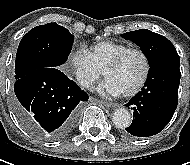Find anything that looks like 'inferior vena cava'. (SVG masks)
Masks as SVG:
<instances>
[{
  "label": "inferior vena cava",
  "instance_id": "1",
  "mask_svg": "<svg viewBox=\"0 0 190 165\" xmlns=\"http://www.w3.org/2000/svg\"><path fill=\"white\" fill-rule=\"evenodd\" d=\"M77 79L79 81V83L83 86V87H89L90 82L87 78H84L80 75L77 76Z\"/></svg>",
  "mask_w": 190,
  "mask_h": 165
}]
</instances>
